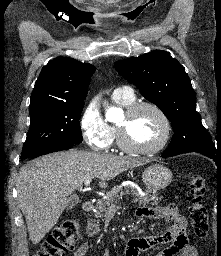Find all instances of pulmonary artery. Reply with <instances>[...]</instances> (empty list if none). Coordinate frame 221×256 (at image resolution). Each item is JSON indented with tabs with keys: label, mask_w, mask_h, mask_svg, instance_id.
<instances>
[{
	"label": "pulmonary artery",
	"mask_w": 221,
	"mask_h": 256,
	"mask_svg": "<svg viewBox=\"0 0 221 256\" xmlns=\"http://www.w3.org/2000/svg\"><path fill=\"white\" fill-rule=\"evenodd\" d=\"M113 96H122L126 98H131L134 96L133 90L130 87H118L113 91Z\"/></svg>",
	"instance_id": "1"
}]
</instances>
